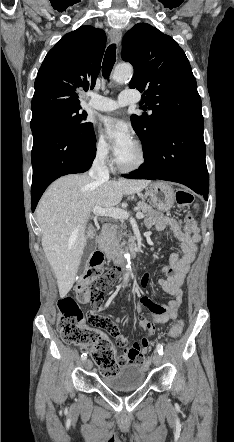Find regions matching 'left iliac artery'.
I'll list each match as a JSON object with an SVG mask.
<instances>
[{"label":"left iliac artery","instance_id":"left-iliac-artery-1","mask_svg":"<svg viewBox=\"0 0 234 442\" xmlns=\"http://www.w3.org/2000/svg\"><path fill=\"white\" fill-rule=\"evenodd\" d=\"M156 350L160 355L163 354V346L161 344H159V343L157 344Z\"/></svg>","mask_w":234,"mask_h":442}]
</instances>
